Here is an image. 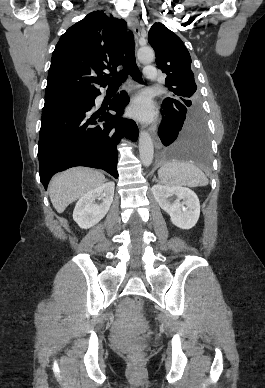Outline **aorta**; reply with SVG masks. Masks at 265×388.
<instances>
[{
  "label": "aorta",
  "instance_id": "762f6f07",
  "mask_svg": "<svg viewBox=\"0 0 265 388\" xmlns=\"http://www.w3.org/2000/svg\"><path fill=\"white\" fill-rule=\"evenodd\" d=\"M138 58L140 61L150 63L154 60V51L151 48H141L138 51ZM139 154L141 162L144 166H150L153 161L154 147L151 136L145 130L139 133Z\"/></svg>",
  "mask_w": 265,
  "mask_h": 388
}]
</instances>
